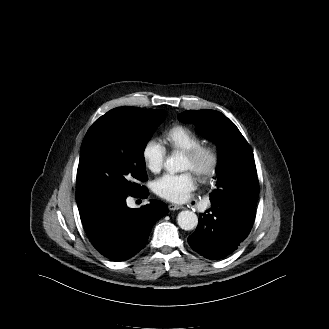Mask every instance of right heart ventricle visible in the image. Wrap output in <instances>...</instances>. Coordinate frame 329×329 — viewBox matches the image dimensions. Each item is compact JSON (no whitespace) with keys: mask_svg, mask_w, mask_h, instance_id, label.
<instances>
[{"mask_svg":"<svg viewBox=\"0 0 329 329\" xmlns=\"http://www.w3.org/2000/svg\"><path fill=\"white\" fill-rule=\"evenodd\" d=\"M165 141L174 151L185 152L202 143L199 134L185 125H174L164 134Z\"/></svg>","mask_w":329,"mask_h":329,"instance_id":"obj_1","label":"right heart ventricle"}]
</instances>
